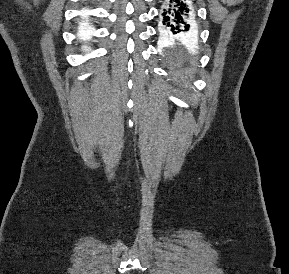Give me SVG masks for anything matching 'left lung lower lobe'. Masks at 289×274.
<instances>
[{"label": "left lung lower lobe", "mask_w": 289, "mask_h": 274, "mask_svg": "<svg viewBox=\"0 0 289 274\" xmlns=\"http://www.w3.org/2000/svg\"><path fill=\"white\" fill-rule=\"evenodd\" d=\"M193 12L186 0H167L163 9L160 36L165 41L188 39L195 35Z\"/></svg>", "instance_id": "obj_1"}]
</instances>
